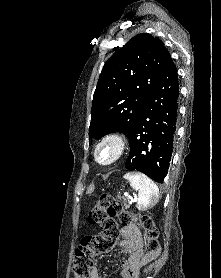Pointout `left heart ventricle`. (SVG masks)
I'll return each instance as SVG.
<instances>
[{
	"mask_svg": "<svg viewBox=\"0 0 221 278\" xmlns=\"http://www.w3.org/2000/svg\"><path fill=\"white\" fill-rule=\"evenodd\" d=\"M115 150L112 145H102L98 150V158L101 162H108L114 156Z\"/></svg>",
	"mask_w": 221,
	"mask_h": 278,
	"instance_id": "obj_1",
	"label": "left heart ventricle"
}]
</instances>
